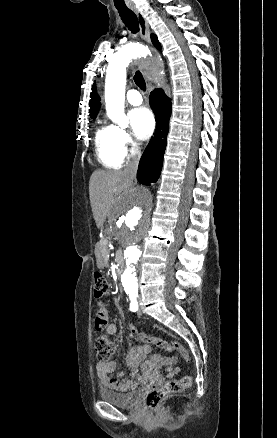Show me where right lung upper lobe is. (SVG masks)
Here are the masks:
<instances>
[{
	"label": "right lung upper lobe",
	"mask_w": 277,
	"mask_h": 438,
	"mask_svg": "<svg viewBox=\"0 0 277 438\" xmlns=\"http://www.w3.org/2000/svg\"><path fill=\"white\" fill-rule=\"evenodd\" d=\"M151 40H152L153 44L158 49H160L161 46H160V43L158 42V39H157L156 35L152 34L151 35ZM92 90L93 91H92L91 96H90L91 100H90V110H89V112H90V117L91 118H95L96 115H97V112H98V110L100 108V98H99V96L96 93L95 84H94Z\"/></svg>",
	"instance_id": "right-lung-upper-lobe-1"
}]
</instances>
